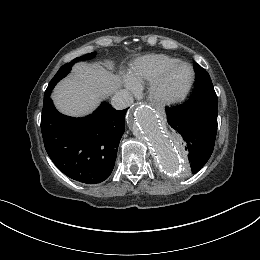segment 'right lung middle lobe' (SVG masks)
<instances>
[{
	"mask_svg": "<svg viewBox=\"0 0 260 260\" xmlns=\"http://www.w3.org/2000/svg\"><path fill=\"white\" fill-rule=\"evenodd\" d=\"M96 55V52L93 53H89V54H85L81 57H77L74 60H72L70 63H66L64 66H62L58 72L56 73V75L53 77V79L50 81L48 88H54V86L59 82V80H61L62 78H64L70 71L72 66L78 62V61H83V60H90L92 58H94Z\"/></svg>",
	"mask_w": 260,
	"mask_h": 260,
	"instance_id": "obj_1",
	"label": "right lung middle lobe"
}]
</instances>
